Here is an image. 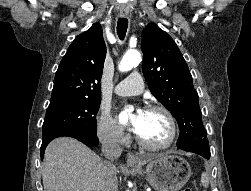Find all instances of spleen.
I'll list each match as a JSON object with an SVG mask.
<instances>
[{"label":"spleen","instance_id":"3e777b00","mask_svg":"<svg viewBox=\"0 0 251 191\" xmlns=\"http://www.w3.org/2000/svg\"><path fill=\"white\" fill-rule=\"evenodd\" d=\"M201 183L204 187H208L209 177L207 171H203V173H201ZM204 191H206V189H204Z\"/></svg>","mask_w":251,"mask_h":191}]
</instances>
